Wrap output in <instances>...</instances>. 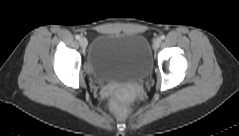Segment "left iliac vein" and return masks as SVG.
I'll use <instances>...</instances> for the list:
<instances>
[{"label": "left iliac vein", "instance_id": "obj_1", "mask_svg": "<svg viewBox=\"0 0 239 136\" xmlns=\"http://www.w3.org/2000/svg\"><path fill=\"white\" fill-rule=\"evenodd\" d=\"M160 44H161L160 38H156V39L154 40L153 46H154L155 48H158V47L160 46Z\"/></svg>", "mask_w": 239, "mask_h": 136}]
</instances>
